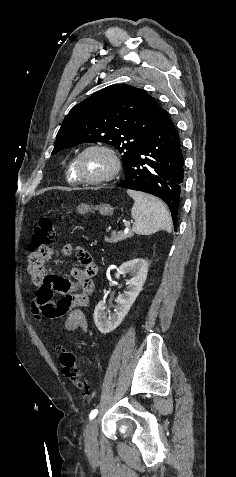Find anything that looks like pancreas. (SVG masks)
<instances>
[{
	"label": "pancreas",
	"mask_w": 236,
	"mask_h": 477,
	"mask_svg": "<svg viewBox=\"0 0 236 477\" xmlns=\"http://www.w3.org/2000/svg\"><path fill=\"white\" fill-rule=\"evenodd\" d=\"M133 236V232L128 230V232H113L110 237H105V241L108 243H117L119 241L126 240Z\"/></svg>",
	"instance_id": "1"
}]
</instances>
